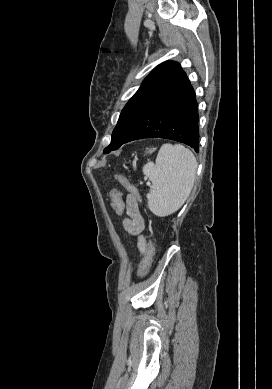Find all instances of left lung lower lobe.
I'll list each match as a JSON object with an SVG mask.
<instances>
[{
	"instance_id": "1",
	"label": "left lung lower lobe",
	"mask_w": 272,
	"mask_h": 389,
	"mask_svg": "<svg viewBox=\"0 0 272 389\" xmlns=\"http://www.w3.org/2000/svg\"><path fill=\"white\" fill-rule=\"evenodd\" d=\"M144 138H164L199 152L198 104L185 72L156 93L122 144Z\"/></svg>"
}]
</instances>
